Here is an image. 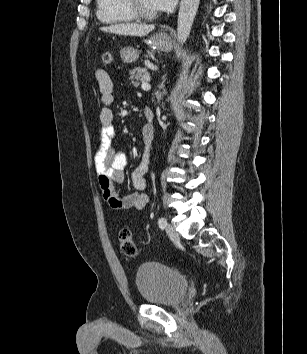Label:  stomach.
I'll list each match as a JSON object with an SVG mask.
<instances>
[{
	"instance_id": "1",
	"label": "stomach",
	"mask_w": 307,
	"mask_h": 354,
	"mask_svg": "<svg viewBox=\"0 0 307 354\" xmlns=\"http://www.w3.org/2000/svg\"><path fill=\"white\" fill-rule=\"evenodd\" d=\"M147 43L154 49L167 52L172 49V41L170 36L165 32L157 33L150 37ZM120 56L123 62L132 63L136 61L139 52L131 47H125L120 51Z\"/></svg>"
}]
</instances>
